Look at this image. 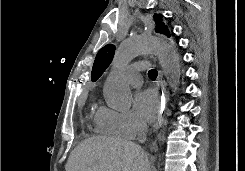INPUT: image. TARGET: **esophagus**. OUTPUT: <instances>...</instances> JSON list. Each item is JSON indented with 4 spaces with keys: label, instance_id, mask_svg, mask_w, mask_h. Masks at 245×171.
<instances>
[{
    "label": "esophagus",
    "instance_id": "obj_1",
    "mask_svg": "<svg viewBox=\"0 0 245 171\" xmlns=\"http://www.w3.org/2000/svg\"><path fill=\"white\" fill-rule=\"evenodd\" d=\"M157 87L159 90L160 108H159V112H158L157 117H156V121H155L153 128H152L153 133L157 132L160 129L162 122H163V119H164V116L166 114L168 102H169V97H168V94L166 91V87H165V83H164L163 78H162L161 71H159V75L157 78ZM151 148H152V150H156L157 149L156 143H153Z\"/></svg>",
    "mask_w": 245,
    "mask_h": 171
}]
</instances>
